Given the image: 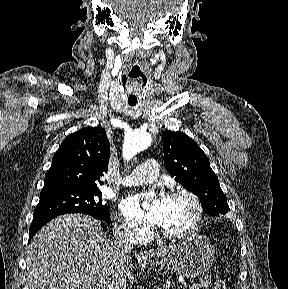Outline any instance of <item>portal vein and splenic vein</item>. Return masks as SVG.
Here are the masks:
<instances>
[{
    "mask_svg": "<svg viewBox=\"0 0 288 289\" xmlns=\"http://www.w3.org/2000/svg\"><path fill=\"white\" fill-rule=\"evenodd\" d=\"M187 287H188V284H187V283H184L183 286H181L180 288H181V289H186Z\"/></svg>",
    "mask_w": 288,
    "mask_h": 289,
    "instance_id": "18ae733b",
    "label": "portal vein and splenic vein"
}]
</instances>
